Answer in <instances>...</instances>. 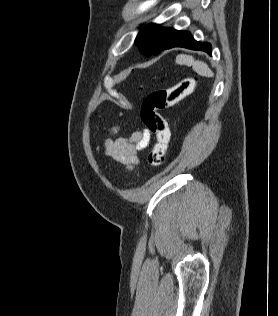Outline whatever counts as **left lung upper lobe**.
Listing matches in <instances>:
<instances>
[{
    "instance_id": "obj_1",
    "label": "left lung upper lobe",
    "mask_w": 278,
    "mask_h": 316,
    "mask_svg": "<svg viewBox=\"0 0 278 316\" xmlns=\"http://www.w3.org/2000/svg\"><path fill=\"white\" fill-rule=\"evenodd\" d=\"M176 33L173 28L156 29V24L151 23L140 30L135 42L140 51L149 57L163 51Z\"/></svg>"
}]
</instances>
